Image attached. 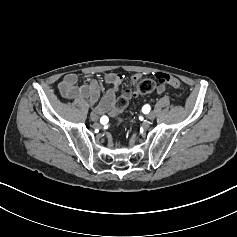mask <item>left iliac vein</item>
Here are the masks:
<instances>
[{
    "instance_id": "left-iliac-vein-1",
    "label": "left iliac vein",
    "mask_w": 237,
    "mask_h": 237,
    "mask_svg": "<svg viewBox=\"0 0 237 237\" xmlns=\"http://www.w3.org/2000/svg\"><path fill=\"white\" fill-rule=\"evenodd\" d=\"M147 118L150 119V120L154 119L155 118V113L154 112L148 113Z\"/></svg>"
}]
</instances>
